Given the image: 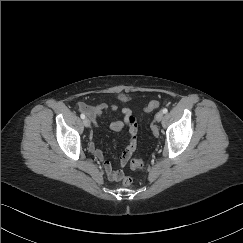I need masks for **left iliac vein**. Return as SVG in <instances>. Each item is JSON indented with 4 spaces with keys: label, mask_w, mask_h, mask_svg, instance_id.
Instances as JSON below:
<instances>
[{
    "label": "left iliac vein",
    "mask_w": 243,
    "mask_h": 243,
    "mask_svg": "<svg viewBox=\"0 0 243 243\" xmlns=\"http://www.w3.org/2000/svg\"><path fill=\"white\" fill-rule=\"evenodd\" d=\"M163 118H164V113L162 111L157 112L155 116L156 121L160 122L162 121ZM154 132L156 134V130Z\"/></svg>",
    "instance_id": "left-iliac-vein-1"
}]
</instances>
